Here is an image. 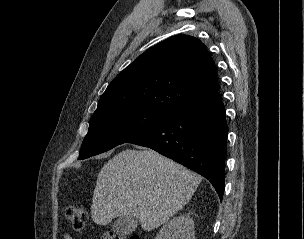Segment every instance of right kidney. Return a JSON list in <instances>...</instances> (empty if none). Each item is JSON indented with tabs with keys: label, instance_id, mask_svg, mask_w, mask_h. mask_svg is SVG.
Returning a JSON list of instances; mask_svg holds the SVG:
<instances>
[{
	"label": "right kidney",
	"instance_id": "1",
	"mask_svg": "<svg viewBox=\"0 0 304 239\" xmlns=\"http://www.w3.org/2000/svg\"><path fill=\"white\" fill-rule=\"evenodd\" d=\"M155 239H195L194 221L189 214H180L167 222Z\"/></svg>",
	"mask_w": 304,
	"mask_h": 239
}]
</instances>
